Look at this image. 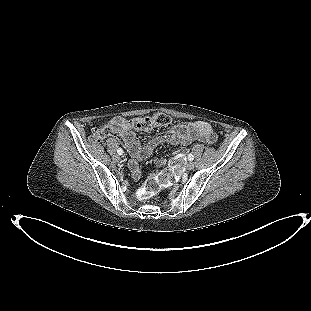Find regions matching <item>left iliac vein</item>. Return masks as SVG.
Masks as SVG:
<instances>
[{
    "label": "left iliac vein",
    "mask_w": 311,
    "mask_h": 311,
    "mask_svg": "<svg viewBox=\"0 0 311 311\" xmlns=\"http://www.w3.org/2000/svg\"><path fill=\"white\" fill-rule=\"evenodd\" d=\"M193 168H194V163L190 161V162L186 165V169L190 171V170H192Z\"/></svg>",
    "instance_id": "left-iliac-vein-1"
}]
</instances>
